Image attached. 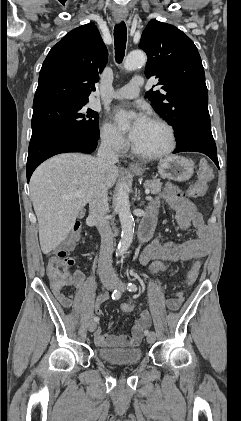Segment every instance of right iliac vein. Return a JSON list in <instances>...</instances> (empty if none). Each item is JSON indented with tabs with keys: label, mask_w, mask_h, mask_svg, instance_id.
<instances>
[{
	"label": "right iliac vein",
	"mask_w": 241,
	"mask_h": 421,
	"mask_svg": "<svg viewBox=\"0 0 241 421\" xmlns=\"http://www.w3.org/2000/svg\"><path fill=\"white\" fill-rule=\"evenodd\" d=\"M103 287L106 288L107 290H111L114 287V282L110 279H104L102 281ZM96 322L95 321H91L88 324V330L90 332H93L96 329Z\"/></svg>",
	"instance_id": "1"
}]
</instances>
